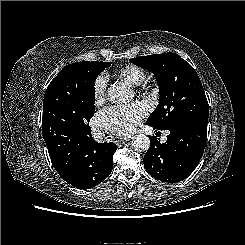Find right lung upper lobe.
I'll return each instance as SVG.
<instances>
[{
	"label": "right lung upper lobe",
	"instance_id": "cb5924a9",
	"mask_svg": "<svg viewBox=\"0 0 245 245\" xmlns=\"http://www.w3.org/2000/svg\"><path fill=\"white\" fill-rule=\"evenodd\" d=\"M84 98L73 64L65 66L49 84L43 101L42 131L44 140L74 133Z\"/></svg>",
	"mask_w": 245,
	"mask_h": 245
}]
</instances>
